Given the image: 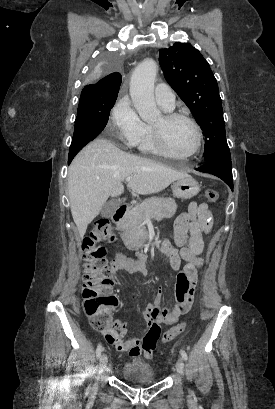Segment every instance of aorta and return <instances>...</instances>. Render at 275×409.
Masks as SVG:
<instances>
[{
  "mask_svg": "<svg viewBox=\"0 0 275 409\" xmlns=\"http://www.w3.org/2000/svg\"><path fill=\"white\" fill-rule=\"evenodd\" d=\"M157 64L153 58H144L136 66L130 82V96L133 104L142 120H157L161 116V110L157 108L154 98V82L156 78Z\"/></svg>",
  "mask_w": 275,
  "mask_h": 409,
  "instance_id": "obj_1",
  "label": "aorta"
}]
</instances>
